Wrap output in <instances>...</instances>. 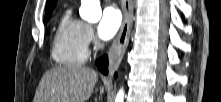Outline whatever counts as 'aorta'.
Segmentation results:
<instances>
[{"label": "aorta", "mask_w": 221, "mask_h": 102, "mask_svg": "<svg viewBox=\"0 0 221 102\" xmlns=\"http://www.w3.org/2000/svg\"><path fill=\"white\" fill-rule=\"evenodd\" d=\"M80 17L89 22H97L100 20L102 11L100 0H81L79 9ZM115 102H124V90L120 89L116 95Z\"/></svg>", "instance_id": "aorta-1"}]
</instances>
